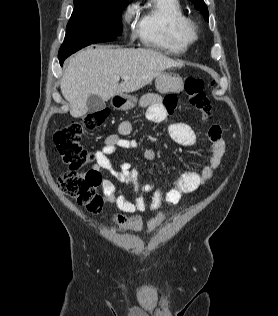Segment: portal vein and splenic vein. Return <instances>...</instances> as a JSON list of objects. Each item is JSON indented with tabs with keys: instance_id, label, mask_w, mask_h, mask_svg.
Listing matches in <instances>:
<instances>
[{
	"instance_id": "portal-vein-and-splenic-vein-1",
	"label": "portal vein and splenic vein",
	"mask_w": 278,
	"mask_h": 316,
	"mask_svg": "<svg viewBox=\"0 0 278 316\" xmlns=\"http://www.w3.org/2000/svg\"><path fill=\"white\" fill-rule=\"evenodd\" d=\"M118 78H120V77H118ZM121 78H122V79H129L128 76H121Z\"/></svg>"
}]
</instances>
